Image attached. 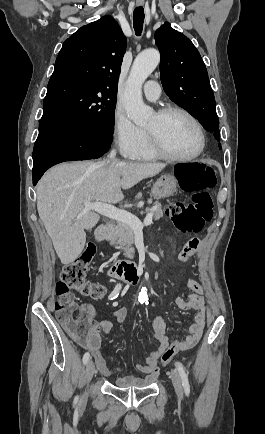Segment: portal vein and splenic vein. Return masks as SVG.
<instances>
[{
  "instance_id": "portal-vein-and-splenic-vein-1",
  "label": "portal vein and splenic vein",
  "mask_w": 265,
  "mask_h": 434,
  "mask_svg": "<svg viewBox=\"0 0 265 434\" xmlns=\"http://www.w3.org/2000/svg\"><path fill=\"white\" fill-rule=\"evenodd\" d=\"M83 204L85 206L84 210H94L97 214H102V216H107V218H112V220H117V222H126L132 230H143L144 226L152 224V214H147L142 224L139 218H136L130 212L117 210L111 204H103V202H83Z\"/></svg>"
}]
</instances>
